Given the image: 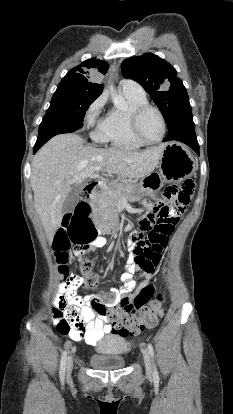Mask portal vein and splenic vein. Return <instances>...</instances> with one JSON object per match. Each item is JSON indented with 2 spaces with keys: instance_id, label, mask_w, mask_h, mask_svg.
<instances>
[{
  "instance_id": "18ae733b",
  "label": "portal vein and splenic vein",
  "mask_w": 233,
  "mask_h": 414,
  "mask_svg": "<svg viewBox=\"0 0 233 414\" xmlns=\"http://www.w3.org/2000/svg\"><path fill=\"white\" fill-rule=\"evenodd\" d=\"M102 169V167H96L94 170L95 171H100ZM89 177L90 178H98L99 176L98 175H95V174H93V173H90L89 174Z\"/></svg>"
}]
</instances>
